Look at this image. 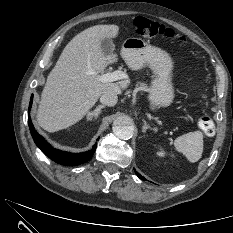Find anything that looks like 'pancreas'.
I'll return each mask as SVG.
<instances>
[{
	"mask_svg": "<svg viewBox=\"0 0 233 233\" xmlns=\"http://www.w3.org/2000/svg\"><path fill=\"white\" fill-rule=\"evenodd\" d=\"M137 90L149 91V88L146 83L139 82L136 87Z\"/></svg>",
	"mask_w": 233,
	"mask_h": 233,
	"instance_id": "cf45deb5",
	"label": "pancreas"
}]
</instances>
